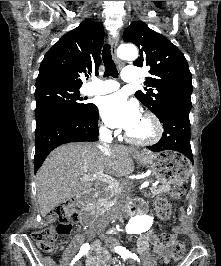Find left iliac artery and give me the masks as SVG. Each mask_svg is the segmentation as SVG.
Listing matches in <instances>:
<instances>
[{"label":"left iliac artery","mask_w":221,"mask_h":266,"mask_svg":"<svg viewBox=\"0 0 221 266\" xmlns=\"http://www.w3.org/2000/svg\"><path fill=\"white\" fill-rule=\"evenodd\" d=\"M115 251L121 255L122 258L127 259V258H133L136 261H140L138 256L135 253H131L129 250H127L125 247L122 246H117L115 247Z\"/></svg>","instance_id":"left-iliac-artery-1"}]
</instances>
